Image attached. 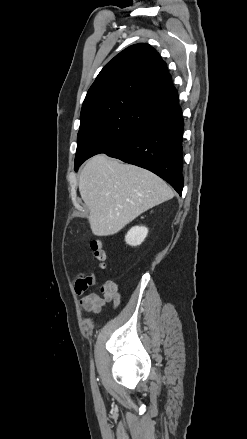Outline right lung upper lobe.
<instances>
[{
    "mask_svg": "<svg viewBox=\"0 0 247 439\" xmlns=\"http://www.w3.org/2000/svg\"><path fill=\"white\" fill-rule=\"evenodd\" d=\"M176 98L166 63L150 45L139 43L124 49L101 70L81 112L109 101H129L153 112Z\"/></svg>",
    "mask_w": 247,
    "mask_h": 439,
    "instance_id": "right-lung-upper-lobe-1",
    "label": "right lung upper lobe"
}]
</instances>
